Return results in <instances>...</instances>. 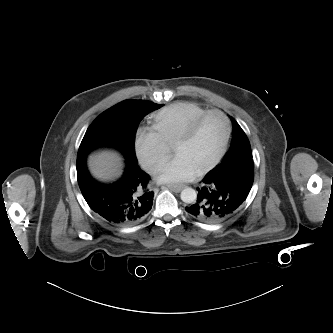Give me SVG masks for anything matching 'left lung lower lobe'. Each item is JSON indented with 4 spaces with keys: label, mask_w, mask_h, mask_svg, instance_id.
<instances>
[{
    "label": "left lung lower lobe",
    "mask_w": 333,
    "mask_h": 333,
    "mask_svg": "<svg viewBox=\"0 0 333 333\" xmlns=\"http://www.w3.org/2000/svg\"><path fill=\"white\" fill-rule=\"evenodd\" d=\"M254 181V168L236 165L209 175L197 188V201L186 211L201 222H220L237 211L246 200Z\"/></svg>",
    "instance_id": "0a47b994"
}]
</instances>
